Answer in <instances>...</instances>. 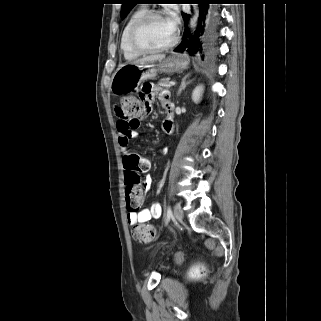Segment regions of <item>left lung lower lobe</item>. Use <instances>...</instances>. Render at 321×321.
<instances>
[{"label": "left lung lower lobe", "instance_id": "1", "mask_svg": "<svg viewBox=\"0 0 321 321\" xmlns=\"http://www.w3.org/2000/svg\"><path fill=\"white\" fill-rule=\"evenodd\" d=\"M199 4L198 26L194 34H189L187 28L184 31L182 42L176 47V51H187L191 54L203 52L210 48L217 36L219 12L214 4L216 0H192ZM183 18L186 14L182 13ZM187 19V18H186ZM203 57V56H202Z\"/></svg>", "mask_w": 321, "mask_h": 321}]
</instances>
